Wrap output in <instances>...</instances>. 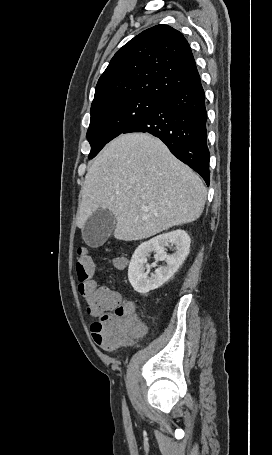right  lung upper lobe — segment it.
Here are the masks:
<instances>
[{"label":"right lung upper lobe","instance_id":"right-lung-upper-lobe-1","mask_svg":"<svg viewBox=\"0 0 272 455\" xmlns=\"http://www.w3.org/2000/svg\"><path fill=\"white\" fill-rule=\"evenodd\" d=\"M199 78L182 33L168 25H157L116 52L98 80L91 108L134 96L165 99Z\"/></svg>","mask_w":272,"mask_h":455}]
</instances>
